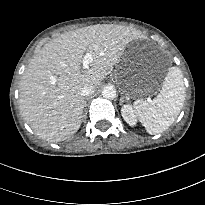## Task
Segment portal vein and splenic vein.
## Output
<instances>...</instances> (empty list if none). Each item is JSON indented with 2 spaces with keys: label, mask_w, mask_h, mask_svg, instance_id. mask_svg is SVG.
<instances>
[{
  "label": "portal vein and splenic vein",
  "mask_w": 205,
  "mask_h": 205,
  "mask_svg": "<svg viewBox=\"0 0 205 205\" xmlns=\"http://www.w3.org/2000/svg\"><path fill=\"white\" fill-rule=\"evenodd\" d=\"M93 57H95V54H94V53H89V52H87V53L84 55L83 61H82V68H83L84 70L89 68L90 61L92 60ZM148 100H150V98H148Z\"/></svg>",
  "instance_id": "obj_1"
}]
</instances>
